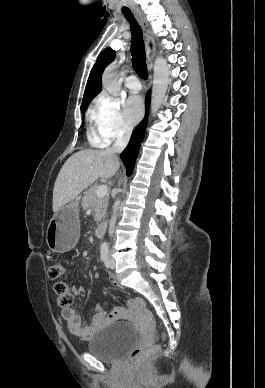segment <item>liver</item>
I'll return each mask as SVG.
<instances>
[{
  "instance_id": "6515ba94",
  "label": "liver",
  "mask_w": 265,
  "mask_h": 388,
  "mask_svg": "<svg viewBox=\"0 0 265 388\" xmlns=\"http://www.w3.org/2000/svg\"><path fill=\"white\" fill-rule=\"evenodd\" d=\"M93 166L94 170H90ZM120 168L118 156L108 150H81L62 166L53 190V212L75 200L98 178L109 180Z\"/></svg>"
}]
</instances>
